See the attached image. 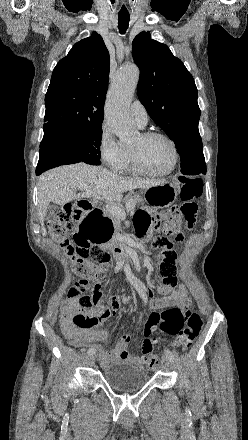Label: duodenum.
<instances>
[{
  "label": "duodenum",
  "instance_id": "410a0bca",
  "mask_svg": "<svg viewBox=\"0 0 248 440\" xmlns=\"http://www.w3.org/2000/svg\"><path fill=\"white\" fill-rule=\"evenodd\" d=\"M75 206L84 211L88 209H93V203L89 200H81L75 203ZM111 251L116 260H118L123 265H128L134 258L135 254L129 248L127 244H117L111 248Z\"/></svg>",
  "mask_w": 248,
  "mask_h": 440
}]
</instances>
